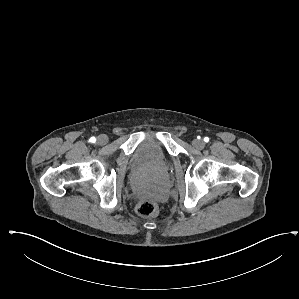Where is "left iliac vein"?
<instances>
[{
  "label": "left iliac vein",
  "mask_w": 299,
  "mask_h": 299,
  "mask_svg": "<svg viewBox=\"0 0 299 299\" xmlns=\"http://www.w3.org/2000/svg\"><path fill=\"white\" fill-rule=\"evenodd\" d=\"M192 145L197 149H203L205 146V143L202 140L194 139L192 141Z\"/></svg>",
  "instance_id": "obj_1"
}]
</instances>
